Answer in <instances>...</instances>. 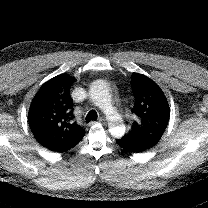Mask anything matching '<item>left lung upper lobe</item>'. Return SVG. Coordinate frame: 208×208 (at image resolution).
<instances>
[{
    "label": "left lung upper lobe",
    "mask_w": 208,
    "mask_h": 208,
    "mask_svg": "<svg viewBox=\"0 0 208 208\" xmlns=\"http://www.w3.org/2000/svg\"><path fill=\"white\" fill-rule=\"evenodd\" d=\"M131 86L135 120L122 138L150 149L157 144L168 125L169 105L161 88L147 76L133 73Z\"/></svg>",
    "instance_id": "5c2ea615"
}]
</instances>
